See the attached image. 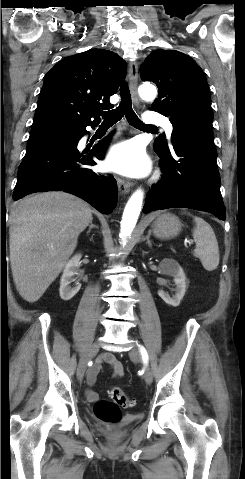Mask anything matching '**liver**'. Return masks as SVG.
<instances>
[{
  "label": "liver",
  "mask_w": 245,
  "mask_h": 479,
  "mask_svg": "<svg viewBox=\"0 0 245 479\" xmlns=\"http://www.w3.org/2000/svg\"><path fill=\"white\" fill-rule=\"evenodd\" d=\"M92 219L86 202L64 192L31 195L14 205L10 262L16 289L24 300L33 303L40 299Z\"/></svg>",
  "instance_id": "obj_1"
}]
</instances>
